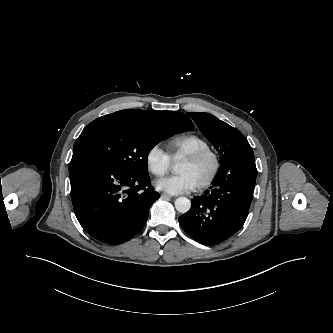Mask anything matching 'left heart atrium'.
<instances>
[{
    "mask_svg": "<svg viewBox=\"0 0 333 333\" xmlns=\"http://www.w3.org/2000/svg\"><path fill=\"white\" fill-rule=\"evenodd\" d=\"M157 189L169 194H182L192 191L196 188V183L186 174H177L155 182Z\"/></svg>",
    "mask_w": 333,
    "mask_h": 333,
    "instance_id": "1",
    "label": "left heart atrium"
}]
</instances>
